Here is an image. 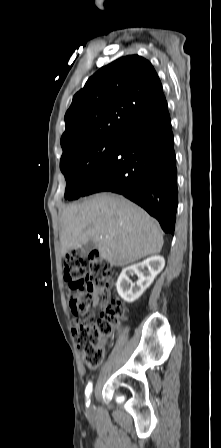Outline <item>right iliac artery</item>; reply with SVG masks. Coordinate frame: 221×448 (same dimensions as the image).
Returning a JSON list of instances; mask_svg holds the SVG:
<instances>
[{
	"instance_id": "obj_1",
	"label": "right iliac artery",
	"mask_w": 221,
	"mask_h": 448,
	"mask_svg": "<svg viewBox=\"0 0 221 448\" xmlns=\"http://www.w3.org/2000/svg\"><path fill=\"white\" fill-rule=\"evenodd\" d=\"M91 393H92V383H89L87 385V387H86V390H85V395H86V398H87V406L90 404L89 397H90Z\"/></svg>"
}]
</instances>
